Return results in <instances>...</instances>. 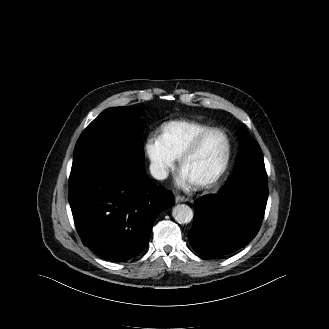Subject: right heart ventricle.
<instances>
[{
    "label": "right heart ventricle",
    "instance_id": "right-heart-ventricle-1",
    "mask_svg": "<svg viewBox=\"0 0 329 329\" xmlns=\"http://www.w3.org/2000/svg\"><path fill=\"white\" fill-rule=\"evenodd\" d=\"M210 126L189 120H174L163 124L159 139L164 147L178 159L193 139Z\"/></svg>",
    "mask_w": 329,
    "mask_h": 329
}]
</instances>
